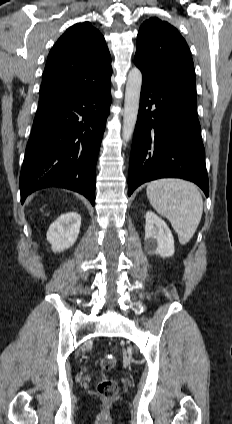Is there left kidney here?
<instances>
[{
  "mask_svg": "<svg viewBox=\"0 0 232 424\" xmlns=\"http://www.w3.org/2000/svg\"><path fill=\"white\" fill-rule=\"evenodd\" d=\"M145 248L163 258L174 254V239L169 227L152 211L146 213Z\"/></svg>",
  "mask_w": 232,
  "mask_h": 424,
  "instance_id": "left-kidney-1",
  "label": "left kidney"
}]
</instances>
